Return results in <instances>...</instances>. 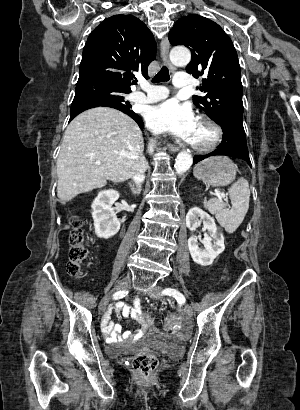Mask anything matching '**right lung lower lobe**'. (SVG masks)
Segmentation results:
<instances>
[{
  "label": "right lung lower lobe",
  "mask_w": 300,
  "mask_h": 410,
  "mask_svg": "<svg viewBox=\"0 0 300 410\" xmlns=\"http://www.w3.org/2000/svg\"><path fill=\"white\" fill-rule=\"evenodd\" d=\"M98 106L112 107V108H115V109H118V110L124 112L125 114H127V115H129L131 118H133V119L138 123L139 127H140L141 129H143V126H144V125H143V121H142V119H141V117H140L139 115H137L136 113H134V112H133L132 110H130V109H127V108H124V107H120V106H114V105H110V104H98V105H91V106H86V107L79 108V109H77V110L71 112L70 120H69V121H71L75 116H77L79 113L83 112L84 110H87V109H90V108H94V107H98Z\"/></svg>",
  "instance_id": "obj_1"
}]
</instances>
